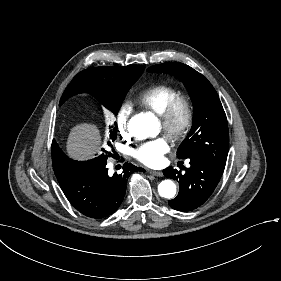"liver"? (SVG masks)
Here are the masks:
<instances>
[{
    "label": "liver",
    "mask_w": 281,
    "mask_h": 281,
    "mask_svg": "<svg viewBox=\"0 0 281 281\" xmlns=\"http://www.w3.org/2000/svg\"><path fill=\"white\" fill-rule=\"evenodd\" d=\"M102 133L95 123L80 122L73 125L66 140V154L75 161H90L102 149Z\"/></svg>",
    "instance_id": "1"
}]
</instances>
